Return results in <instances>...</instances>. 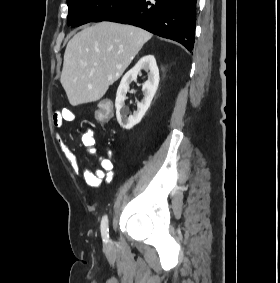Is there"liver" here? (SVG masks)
I'll return each instance as SVG.
<instances>
[{
	"label": "liver",
	"instance_id": "6515ba94",
	"mask_svg": "<svg viewBox=\"0 0 280 283\" xmlns=\"http://www.w3.org/2000/svg\"><path fill=\"white\" fill-rule=\"evenodd\" d=\"M151 37L139 27L113 22L75 34L66 46L60 78L70 104L100 100Z\"/></svg>",
	"mask_w": 280,
	"mask_h": 283
}]
</instances>
